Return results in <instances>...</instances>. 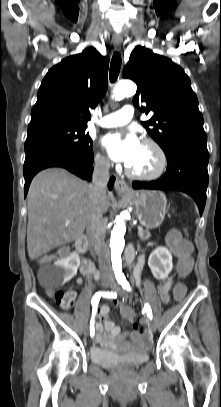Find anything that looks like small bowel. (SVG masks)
Instances as JSON below:
<instances>
[{
	"label": "small bowel",
	"instance_id": "1",
	"mask_svg": "<svg viewBox=\"0 0 221 407\" xmlns=\"http://www.w3.org/2000/svg\"><path fill=\"white\" fill-rule=\"evenodd\" d=\"M144 264V257L141 256L137 262V265L135 267L134 275L136 281L139 283L140 281V275L141 271L143 268ZM80 283L81 280H78ZM175 285L173 278H169L166 281H164L162 284L159 285V293L160 297L163 302H168L170 299V291H171V286ZM68 293L73 297V300L75 299L76 293L74 291H68ZM113 304L116 306L120 305H127L124 302L116 299V297L113 299ZM109 312L110 308L107 305H102L99 310V318L101 319V322H97L95 326L96 330V342L99 343L102 346H107L110 344V342L117 337H121V329L118 325H116L113 321L109 319ZM139 329L138 326L135 328ZM133 333V337L135 339H140L142 337V331H135Z\"/></svg>",
	"mask_w": 221,
	"mask_h": 407
}]
</instances>
